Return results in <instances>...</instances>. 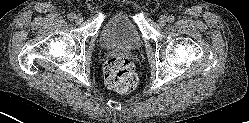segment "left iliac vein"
Wrapping results in <instances>:
<instances>
[{"instance_id": "4c4485c4", "label": "left iliac vein", "mask_w": 249, "mask_h": 123, "mask_svg": "<svg viewBox=\"0 0 249 123\" xmlns=\"http://www.w3.org/2000/svg\"><path fill=\"white\" fill-rule=\"evenodd\" d=\"M167 21H168V18L165 15L160 16V18H159L160 26H165Z\"/></svg>"}]
</instances>
